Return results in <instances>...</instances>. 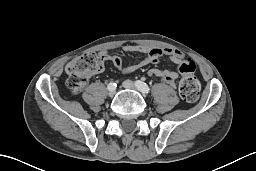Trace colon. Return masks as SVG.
Listing matches in <instances>:
<instances>
[{
    "label": "colon",
    "mask_w": 256,
    "mask_h": 171,
    "mask_svg": "<svg viewBox=\"0 0 256 171\" xmlns=\"http://www.w3.org/2000/svg\"><path fill=\"white\" fill-rule=\"evenodd\" d=\"M103 61L97 53H86L68 63L66 72L68 75L67 87L73 94L80 93L91 74L98 71ZM180 71L183 75L179 83V94L186 102H194L198 99L200 84L195 77V63L189 59H183L180 63Z\"/></svg>",
    "instance_id": "1"
}]
</instances>
